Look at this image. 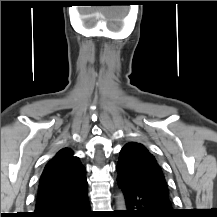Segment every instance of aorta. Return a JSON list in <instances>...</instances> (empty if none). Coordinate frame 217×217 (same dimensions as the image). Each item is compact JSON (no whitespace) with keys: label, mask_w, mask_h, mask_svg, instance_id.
Segmentation results:
<instances>
[{"label":"aorta","mask_w":217,"mask_h":217,"mask_svg":"<svg viewBox=\"0 0 217 217\" xmlns=\"http://www.w3.org/2000/svg\"><path fill=\"white\" fill-rule=\"evenodd\" d=\"M117 209L118 210L126 209L125 200H124V196L122 193L117 195Z\"/></svg>","instance_id":"1"}]
</instances>
